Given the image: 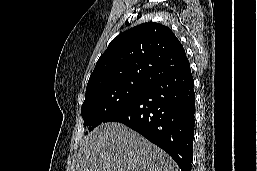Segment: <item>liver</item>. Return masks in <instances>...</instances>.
Segmentation results:
<instances>
[{"instance_id":"obj_1","label":"liver","mask_w":257,"mask_h":171,"mask_svg":"<svg viewBox=\"0 0 257 171\" xmlns=\"http://www.w3.org/2000/svg\"><path fill=\"white\" fill-rule=\"evenodd\" d=\"M71 171H180L159 147L117 122L103 123L81 142Z\"/></svg>"}]
</instances>
